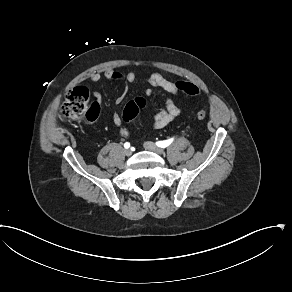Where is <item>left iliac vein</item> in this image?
Instances as JSON below:
<instances>
[{
    "mask_svg": "<svg viewBox=\"0 0 292 292\" xmlns=\"http://www.w3.org/2000/svg\"><path fill=\"white\" fill-rule=\"evenodd\" d=\"M144 148L149 150V151H152L154 153H157L159 155H162L164 153V151L160 147H158L157 145H155L152 142H145Z\"/></svg>",
    "mask_w": 292,
    "mask_h": 292,
    "instance_id": "1",
    "label": "left iliac vein"
}]
</instances>
